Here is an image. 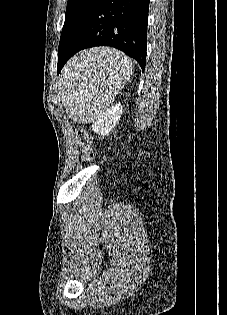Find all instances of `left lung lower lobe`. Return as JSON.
I'll return each instance as SVG.
<instances>
[{"label":"left lung lower lobe","mask_w":227,"mask_h":315,"mask_svg":"<svg viewBox=\"0 0 227 315\" xmlns=\"http://www.w3.org/2000/svg\"><path fill=\"white\" fill-rule=\"evenodd\" d=\"M149 0H99L58 52L57 72L80 50L95 46L117 48L146 65Z\"/></svg>","instance_id":"obj_1"}]
</instances>
